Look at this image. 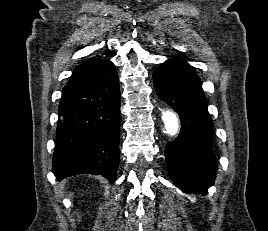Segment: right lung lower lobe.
<instances>
[{
  "mask_svg": "<svg viewBox=\"0 0 268 231\" xmlns=\"http://www.w3.org/2000/svg\"><path fill=\"white\" fill-rule=\"evenodd\" d=\"M120 103L118 75L109 60L64 87L52 163L58 180L81 173L116 180Z\"/></svg>",
  "mask_w": 268,
  "mask_h": 231,
  "instance_id": "right-lung-lower-lobe-1",
  "label": "right lung lower lobe"
}]
</instances>
